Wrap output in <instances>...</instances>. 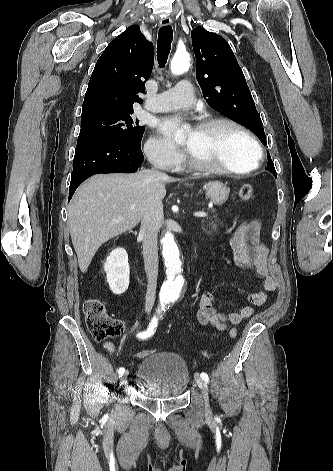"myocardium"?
<instances>
[{
	"mask_svg": "<svg viewBox=\"0 0 333 471\" xmlns=\"http://www.w3.org/2000/svg\"><path fill=\"white\" fill-rule=\"evenodd\" d=\"M221 124L230 125L236 128L250 140V142L252 143L256 151V160L254 164L247 169L235 170V169L223 166V165L212 163L208 160L200 158L192 154L191 152H189V161L191 165L202 171H207V172H212V173L230 174V175H246L257 170L260 167V164L263 158V150L259 141L255 137V135L246 126L228 117H213V118L202 120L198 124L197 128L200 130H208L214 126L221 125Z\"/></svg>",
	"mask_w": 333,
	"mask_h": 471,
	"instance_id": "myocardium-1",
	"label": "myocardium"
}]
</instances>
